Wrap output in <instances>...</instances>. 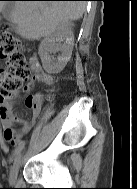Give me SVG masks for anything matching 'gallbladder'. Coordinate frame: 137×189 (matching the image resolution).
Returning a JSON list of instances; mask_svg holds the SVG:
<instances>
[{
    "mask_svg": "<svg viewBox=\"0 0 137 189\" xmlns=\"http://www.w3.org/2000/svg\"><path fill=\"white\" fill-rule=\"evenodd\" d=\"M14 8H15L14 2H9L8 4L4 6V9H3V13L10 23L11 30L15 29V24L11 20V13L14 10Z\"/></svg>",
    "mask_w": 137,
    "mask_h": 189,
    "instance_id": "bac80fb5",
    "label": "gallbladder"
}]
</instances>
